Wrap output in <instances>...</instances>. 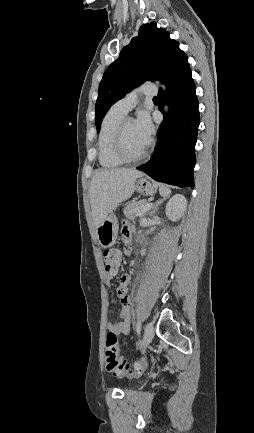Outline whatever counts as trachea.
<instances>
[{
	"label": "trachea",
	"mask_w": 254,
	"mask_h": 433,
	"mask_svg": "<svg viewBox=\"0 0 254 433\" xmlns=\"http://www.w3.org/2000/svg\"><path fill=\"white\" fill-rule=\"evenodd\" d=\"M153 100H157V97H154Z\"/></svg>",
	"instance_id": "3493384b"
}]
</instances>
